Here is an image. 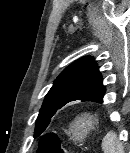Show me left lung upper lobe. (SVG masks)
<instances>
[{"mask_svg": "<svg viewBox=\"0 0 130 153\" xmlns=\"http://www.w3.org/2000/svg\"><path fill=\"white\" fill-rule=\"evenodd\" d=\"M105 93L102 76L93 57L86 56L70 64L54 81L39 112L34 137L48 127L51 118L67 101L100 102Z\"/></svg>", "mask_w": 130, "mask_h": 153, "instance_id": "1", "label": "left lung upper lobe"}]
</instances>
